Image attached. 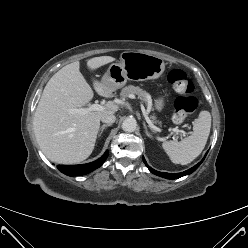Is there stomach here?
<instances>
[{
    "label": "stomach",
    "mask_w": 248,
    "mask_h": 248,
    "mask_svg": "<svg viewBox=\"0 0 248 248\" xmlns=\"http://www.w3.org/2000/svg\"><path fill=\"white\" fill-rule=\"evenodd\" d=\"M165 70L163 59L158 56L136 52L124 51L119 63H113L102 78V82L113 88L123 87L128 80L146 81L159 78ZM164 99L155 101V108L161 111L164 107Z\"/></svg>",
    "instance_id": "stomach-1"
}]
</instances>
